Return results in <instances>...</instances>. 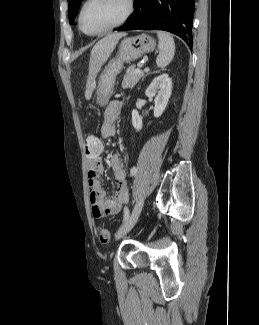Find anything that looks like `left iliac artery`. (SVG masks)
Wrapping results in <instances>:
<instances>
[{
	"label": "left iliac artery",
	"instance_id": "1",
	"mask_svg": "<svg viewBox=\"0 0 259 325\" xmlns=\"http://www.w3.org/2000/svg\"><path fill=\"white\" fill-rule=\"evenodd\" d=\"M136 173H137V168L132 167L131 170H130V175L134 176V175H136ZM128 217H129V210H128V208H125L124 209V220H127Z\"/></svg>",
	"mask_w": 259,
	"mask_h": 325
}]
</instances>
